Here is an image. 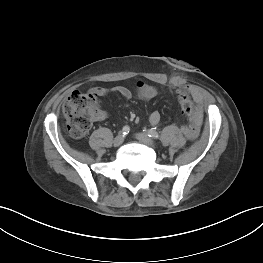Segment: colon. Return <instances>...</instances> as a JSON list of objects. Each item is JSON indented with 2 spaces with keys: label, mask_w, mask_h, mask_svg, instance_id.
Segmentation results:
<instances>
[{
  "label": "colon",
  "mask_w": 263,
  "mask_h": 263,
  "mask_svg": "<svg viewBox=\"0 0 263 263\" xmlns=\"http://www.w3.org/2000/svg\"><path fill=\"white\" fill-rule=\"evenodd\" d=\"M177 99L183 114L186 116L192 134L196 132L197 117L193 103L185 90H177ZM98 114V94L93 91L73 92L63 106V115L67 131L73 138H81L87 134L92 120Z\"/></svg>",
  "instance_id": "obj_1"
}]
</instances>
